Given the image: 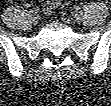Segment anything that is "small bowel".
Wrapping results in <instances>:
<instances>
[{"label": "small bowel", "mask_w": 111, "mask_h": 106, "mask_svg": "<svg viewBox=\"0 0 111 106\" xmlns=\"http://www.w3.org/2000/svg\"><path fill=\"white\" fill-rule=\"evenodd\" d=\"M62 3V0H50L46 3L44 6V11L47 14L52 13L60 4Z\"/></svg>", "instance_id": "1"}]
</instances>
